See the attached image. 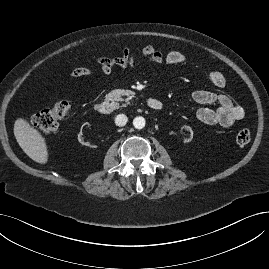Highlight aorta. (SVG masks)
I'll list each match as a JSON object with an SVG mask.
<instances>
[{
  "label": "aorta",
  "instance_id": "obj_1",
  "mask_svg": "<svg viewBox=\"0 0 269 269\" xmlns=\"http://www.w3.org/2000/svg\"><path fill=\"white\" fill-rule=\"evenodd\" d=\"M133 126L136 129H142L145 127V119L141 116L135 117L133 120Z\"/></svg>",
  "mask_w": 269,
  "mask_h": 269
}]
</instances>
